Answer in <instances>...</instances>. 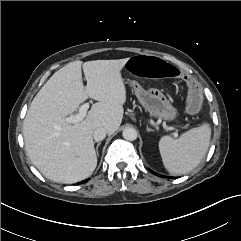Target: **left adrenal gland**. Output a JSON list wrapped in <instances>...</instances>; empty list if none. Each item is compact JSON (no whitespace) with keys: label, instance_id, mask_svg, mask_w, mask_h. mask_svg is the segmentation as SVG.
<instances>
[{"label":"left adrenal gland","instance_id":"a2214340","mask_svg":"<svg viewBox=\"0 0 241 241\" xmlns=\"http://www.w3.org/2000/svg\"><path fill=\"white\" fill-rule=\"evenodd\" d=\"M147 131L150 132V131H154V130L147 127Z\"/></svg>","mask_w":241,"mask_h":241}]
</instances>
